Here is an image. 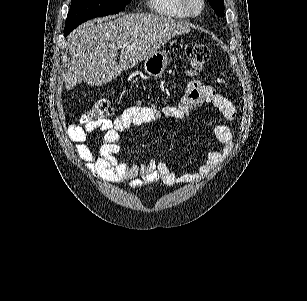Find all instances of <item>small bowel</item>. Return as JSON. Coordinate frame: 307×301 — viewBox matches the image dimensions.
I'll use <instances>...</instances> for the list:
<instances>
[{
  "label": "small bowel",
  "mask_w": 307,
  "mask_h": 301,
  "mask_svg": "<svg viewBox=\"0 0 307 301\" xmlns=\"http://www.w3.org/2000/svg\"><path fill=\"white\" fill-rule=\"evenodd\" d=\"M209 103L223 117L231 122L237 119L235 105L226 97L217 93L212 87L199 81H191L177 105H168L161 109L147 106H130L113 120L97 121L88 125L71 124L67 135L75 145V151L86 162L91 173L112 183L128 182L133 189L159 181L167 186L193 183L206 177L233 150V135L230 128L222 123L212 125V133L219 148L208 152L204 164L197 172L177 177L163 162L148 160L129 164L118 159L122 132L132 126H141L157 121L160 118L184 120L193 109ZM94 131L102 132V143L98 153L87 144L89 135Z\"/></svg>",
  "instance_id": "1"
}]
</instances>
